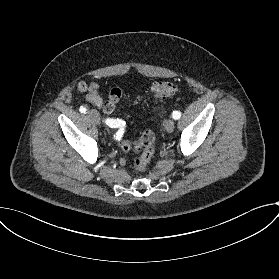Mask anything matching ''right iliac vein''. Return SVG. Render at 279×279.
Here are the masks:
<instances>
[{"label": "right iliac vein", "instance_id": "63e3f726", "mask_svg": "<svg viewBox=\"0 0 279 279\" xmlns=\"http://www.w3.org/2000/svg\"><path fill=\"white\" fill-rule=\"evenodd\" d=\"M89 115L99 124L100 118H99V113H98L97 110L91 109V110L89 111Z\"/></svg>", "mask_w": 279, "mask_h": 279}]
</instances>
